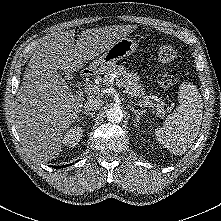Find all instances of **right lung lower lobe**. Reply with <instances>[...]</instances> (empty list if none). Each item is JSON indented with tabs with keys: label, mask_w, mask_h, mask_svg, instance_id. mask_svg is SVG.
I'll use <instances>...</instances> for the list:
<instances>
[{
	"label": "right lung lower lobe",
	"mask_w": 221,
	"mask_h": 221,
	"mask_svg": "<svg viewBox=\"0 0 221 221\" xmlns=\"http://www.w3.org/2000/svg\"><path fill=\"white\" fill-rule=\"evenodd\" d=\"M67 166H69V165H65V166H53L54 168H64V167H67Z\"/></svg>",
	"instance_id": "98d812e1"
}]
</instances>
